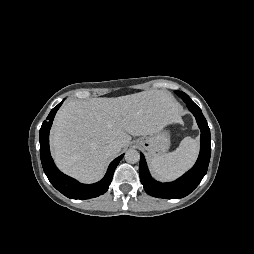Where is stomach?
<instances>
[{"mask_svg": "<svg viewBox=\"0 0 254 254\" xmlns=\"http://www.w3.org/2000/svg\"><path fill=\"white\" fill-rule=\"evenodd\" d=\"M136 144L146 150L150 157L163 155L170 147L169 131L162 129L153 135L140 137Z\"/></svg>", "mask_w": 254, "mask_h": 254, "instance_id": "1", "label": "stomach"}]
</instances>
